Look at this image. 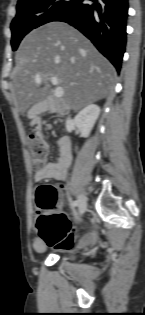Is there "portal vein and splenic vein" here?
Wrapping results in <instances>:
<instances>
[{
  "label": "portal vein and splenic vein",
  "instance_id": "18ae733b",
  "mask_svg": "<svg viewBox=\"0 0 145 315\" xmlns=\"http://www.w3.org/2000/svg\"><path fill=\"white\" fill-rule=\"evenodd\" d=\"M41 81H42L41 77L39 75H37L35 77V82L36 83H41ZM51 82H52V84L57 85L58 84V79L56 77H51ZM63 94H64L63 88L60 87V86L56 87V89L54 91V96L59 98V97H62Z\"/></svg>",
  "mask_w": 145,
  "mask_h": 315
}]
</instances>
